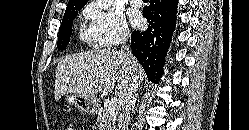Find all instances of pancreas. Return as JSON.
I'll return each mask as SVG.
<instances>
[{
  "mask_svg": "<svg viewBox=\"0 0 249 130\" xmlns=\"http://www.w3.org/2000/svg\"><path fill=\"white\" fill-rule=\"evenodd\" d=\"M108 108L109 106L102 107L97 112L99 130H115L116 114H110Z\"/></svg>",
  "mask_w": 249,
  "mask_h": 130,
  "instance_id": "cf45deb5",
  "label": "pancreas"
}]
</instances>
